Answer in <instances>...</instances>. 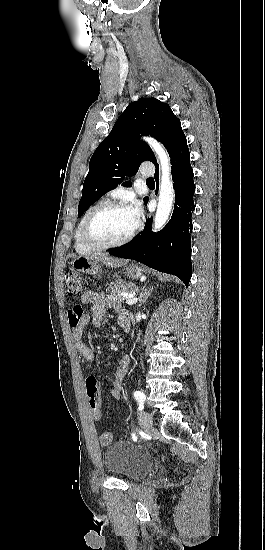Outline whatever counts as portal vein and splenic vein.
<instances>
[{"instance_id": "obj_1", "label": "portal vein and splenic vein", "mask_w": 265, "mask_h": 550, "mask_svg": "<svg viewBox=\"0 0 265 550\" xmlns=\"http://www.w3.org/2000/svg\"><path fill=\"white\" fill-rule=\"evenodd\" d=\"M123 297L126 298V303L128 305H134L138 300L136 297H133V296L127 295V294H125Z\"/></svg>"}]
</instances>
